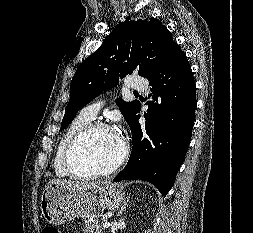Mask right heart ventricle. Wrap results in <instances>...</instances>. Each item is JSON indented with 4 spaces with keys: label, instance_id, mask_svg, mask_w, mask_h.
<instances>
[{
    "label": "right heart ventricle",
    "instance_id": "obj_1",
    "mask_svg": "<svg viewBox=\"0 0 253 233\" xmlns=\"http://www.w3.org/2000/svg\"><path fill=\"white\" fill-rule=\"evenodd\" d=\"M93 119H90L82 114L76 116L68 125L64 133L62 134L53 158L54 172L59 177H70L71 175L64 166V155L68 144L83 128L89 125Z\"/></svg>",
    "mask_w": 253,
    "mask_h": 233
}]
</instances>
